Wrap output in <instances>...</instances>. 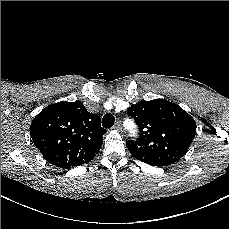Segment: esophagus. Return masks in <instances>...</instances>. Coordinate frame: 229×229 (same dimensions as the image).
Returning a JSON list of instances; mask_svg holds the SVG:
<instances>
[{"instance_id": "esophagus-1", "label": "esophagus", "mask_w": 229, "mask_h": 229, "mask_svg": "<svg viewBox=\"0 0 229 229\" xmlns=\"http://www.w3.org/2000/svg\"><path fill=\"white\" fill-rule=\"evenodd\" d=\"M113 128L119 132H123V128H122L120 122H117Z\"/></svg>"}]
</instances>
